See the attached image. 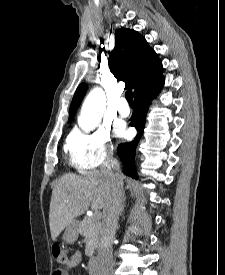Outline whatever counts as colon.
Instances as JSON below:
<instances>
[{
    "label": "colon",
    "mask_w": 225,
    "mask_h": 275,
    "mask_svg": "<svg viewBox=\"0 0 225 275\" xmlns=\"http://www.w3.org/2000/svg\"><path fill=\"white\" fill-rule=\"evenodd\" d=\"M52 255H53L54 261L61 265L67 264L71 259V255L69 251L57 245L53 247Z\"/></svg>",
    "instance_id": "5ec220e1"
}]
</instances>
